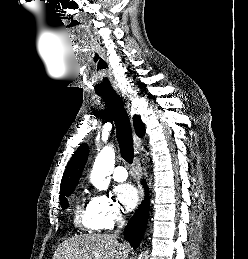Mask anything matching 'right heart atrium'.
<instances>
[{
	"label": "right heart atrium",
	"instance_id": "obj_1",
	"mask_svg": "<svg viewBox=\"0 0 248 259\" xmlns=\"http://www.w3.org/2000/svg\"><path fill=\"white\" fill-rule=\"evenodd\" d=\"M90 207L98 229H110L122 220V211L110 195H95Z\"/></svg>",
	"mask_w": 248,
	"mask_h": 259
}]
</instances>
